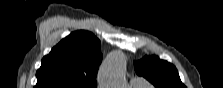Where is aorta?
Wrapping results in <instances>:
<instances>
[{
    "label": "aorta",
    "mask_w": 223,
    "mask_h": 88,
    "mask_svg": "<svg viewBox=\"0 0 223 88\" xmlns=\"http://www.w3.org/2000/svg\"><path fill=\"white\" fill-rule=\"evenodd\" d=\"M126 59L122 52L110 53L101 65L99 82L101 88H124Z\"/></svg>",
    "instance_id": "762f6f07"
}]
</instances>
